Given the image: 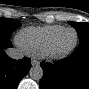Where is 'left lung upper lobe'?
<instances>
[{
    "mask_svg": "<svg viewBox=\"0 0 89 89\" xmlns=\"http://www.w3.org/2000/svg\"><path fill=\"white\" fill-rule=\"evenodd\" d=\"M71 26H73L79 36V40L81 39H89V24L84 22H68Z\"/></svg>",
    "mask_w": 89,
    "mask_h": 89,
    "instance_id": "obj_1",
    "label": "left lung upper lobe"
}]
</instances>
